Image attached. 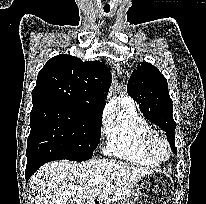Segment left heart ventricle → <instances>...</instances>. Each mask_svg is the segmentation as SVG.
<instances>
[{"mask_svg":"<svg viewBox=\"0 0 206 204\" xmlns=\"http://www.w3.org/2000/svg\"><path fill=\"white\" fill-rule=\"evenodd\" d=\"M153 151H154L155 155H156L158 158L163 159V158H165V156H166V147H165V145H164L161 141H159V140H157V141L154 142V144H153Z\"/></svg>","mask_w":206,"mask_h":204,"instance_id":"1","label":"left heart ventricle"}]
</instances>
